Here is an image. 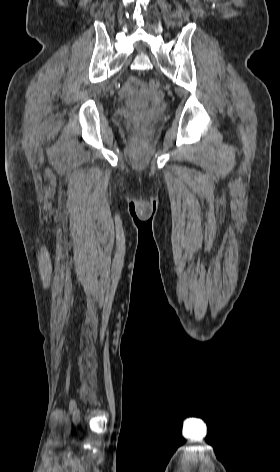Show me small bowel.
Segmentation results:
<instances>
[{"label":"small bowel","instance_id":"1","mask_svg":"<svg viewBox=\"0 0 280 472\" xmlns=\"http://www.w3.org/2000/svg\"><path fill=\"white\" fill-rule=\"evenodd\" d=\"M138 87H144V83L135 77H131L123 87L125 94H133L136 92Z\"/></svg>","mask_w":280,"mask_h":472}]
</instances>
